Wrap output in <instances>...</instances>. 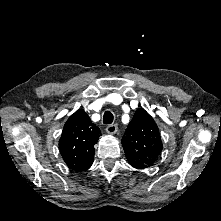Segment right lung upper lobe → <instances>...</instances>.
<instances>
[{
  "label": "right lung upper lobe",
  "instance_id": "1",
  "mask_svg": "<svg viewBox=\"0 0 221 221\" xmlns=\"http://www.w3.org/2000/svg\"><path fill=\"white\" fill-rule=\"evenodd\" d=\"M99 134L100 129L84 110H78L69 117L59 140L60 153L69 169L82 172L91 167Z\"/></svg>",
  "mask_w": 221,
  "mask_h": 221
}]
</instances>
